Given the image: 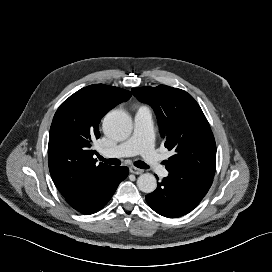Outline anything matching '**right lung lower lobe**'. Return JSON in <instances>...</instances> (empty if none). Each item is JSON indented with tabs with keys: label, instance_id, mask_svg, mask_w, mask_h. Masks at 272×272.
<instances>
[{
	"label": "right lung lower lobe",
	"instance_id": "1",
	"mask_svg": "<svg viewBox=\"0 0 272 272\" xmlns=\"http://www.w3.org/2000/svg\"><path fill=\"white\" fill-rule=\"evenodd\" d=\"M128 172L129 169L125 166L114 168L106 177L87 187L80 194L66 198V201L80 213L86 215L95 213L107 204Z\"/></svg>",
	"mask_w": 272,
	"mask_h": 272
}]
</instances>
